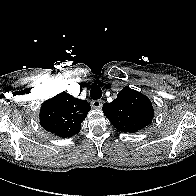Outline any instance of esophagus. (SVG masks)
<instances>
[{
	"label": "esophagus",
	"instance_id": "esophagus-1",
	"mask_svg": "<svg viewBox=\"0 0 196 196\" xmlns=\"http://www.w3.org/2000/svg\"><path fill=\"white\" fill-rule=\"evenodd\" d=\"M102 105H103L102 100H93V101L91 102V106H92L93 108H95V109H100V108L102 107Z\"/></svg>",
	"mask_w": 196,
	"mask_h": 196
}]
</instances>
